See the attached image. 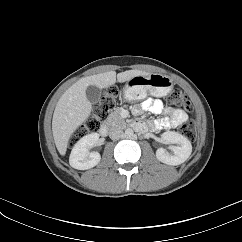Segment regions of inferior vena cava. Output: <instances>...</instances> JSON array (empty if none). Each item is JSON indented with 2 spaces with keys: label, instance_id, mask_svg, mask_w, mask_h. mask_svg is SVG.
Masks as SVG:
<instances>
[{
  "label": "inferior vena cava",
  "instance_id": "obj_1",
  "mask_svg": "<svg viewBox=\"0 0 242 242\" xmlns=\"http://www.w3.org/2000/svg\"><path fill=\"white\" fill-rule=\"evenodd\" d=\"M123 134H124V133H123V131H122L121 128L114 126V127H112V128L110 129L109 137H110L112 140H117V139L121 138V137L123 136Z\"/></svg>",
  "mask_w": 242,
  "mask_h": 242
}]
</instances>
